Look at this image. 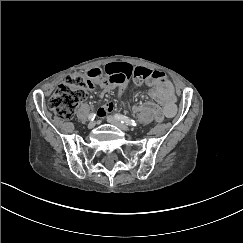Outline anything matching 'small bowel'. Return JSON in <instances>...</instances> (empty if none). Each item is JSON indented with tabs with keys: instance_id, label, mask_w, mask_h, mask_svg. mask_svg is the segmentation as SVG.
Masks as SVG:
<instances>
[{
	"instance_id": "small-bowel-1",
	"label": "small bowel",
	"mask_w": 243,
	"mask_h": 243,
	"mask_svg": "<svg viewBox=\"0 0 243 243\" xmlns=\"http://www.w3.org/2000/svg\"><path fill=\"white\" fill-rule=\"evenodd\" d=\"M88 76L92 78L103 90L102 94L116 86L122 87L129 77H134L137 81H145L154 86L151 96L156 99L163 108L166 117H173L176 114V96L174 87L166 75L160 71L150 70L144 67H133L129 63H110L102 68L91 69ZM114 105L106 104L99 109V115L112 111Z\"/></svg>"
}]
</instances>
